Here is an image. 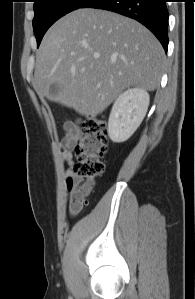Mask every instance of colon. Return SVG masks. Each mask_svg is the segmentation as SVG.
<instances>
[{
  "label": "colon",
  "mask_w": 195,
  "mask_h": 299,
  "mask_svg": "<svg viewBox=\"0 0 195 299\" xmlns=\"http://www.w3.org/2000/svg\"><path fill=\"white\" fill-rule=\"evenodd\" d=\"M107 125L98 117L86 120L82 135L75 145L76 163L74 178L69 190V211L77 214L87 203L88 196L96 179L103 174V158L107 152Z\"/></svg>",
  "instance_id": "1"
}]
</instances>
